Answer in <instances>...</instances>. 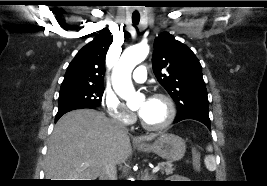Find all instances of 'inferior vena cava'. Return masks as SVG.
<instances>
[{"label": "inferior vena cava", "instance_id": "obj_1", "mask_svg": "<svg viewBox=\"0 0 267 186\" xmlns=\"http://www.w3.org/2000/svg\"><path fill=\"white\" fill-rule=\"evenodd\" d=\"M115 127L119 132L128 133L127 127L122 122H115ZM100 180H117L116 164L109 162L100 175Z\"/></svg>", "mask_w": 267, "mask_h": 186}]
</instances>
